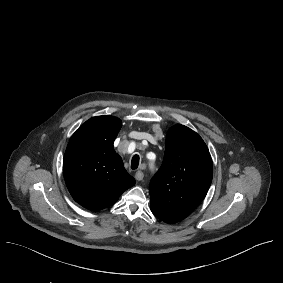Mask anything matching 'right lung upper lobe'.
I'll return each mask as SVG.
<instances>
[{"mask_svg":"<svg viewBox=\"0 0 283 283\" xmlns=\"http://www.w3.org/2000/svg\"><path fill=\"white\" fill-rule=\"evenodd\" d=\"M122 127L114 116H97L83 123L71 137L64 155V178L81 206L99 211L113 205L135 185L113 143Z\"/></svg>","mask_w":283,"mask_h":283,"instance_id":"1","label":"right lung upper lobe"}]
</instances>
